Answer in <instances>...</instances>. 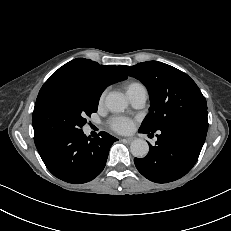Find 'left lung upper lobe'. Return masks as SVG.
<instances>
[{
  "instance_id": "left-lung-upper-lobe-1",
  "label": "left lung upper lobe",
  "mask_w": 231,
  "mask_h": 231,
  "mask_svg": "<svg viewBox=\"0 0 231 231\" xmlns=\"http://www.w3.org/2000/svg\"><path fill=\"white\" fill-rule=\"evenodd\" d=\"M121 69L148 89L151 106L142 128L157 131L183 119H207L206 99L186 73L157 61L121 66Z\"/></svg>"
}]
</instances>
